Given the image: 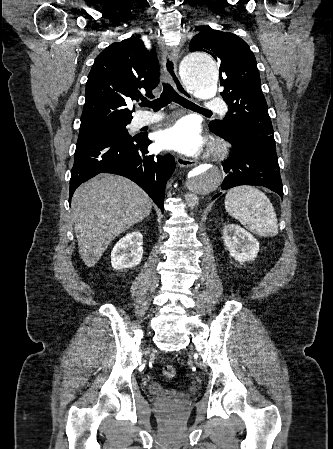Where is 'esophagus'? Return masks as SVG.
Listing matches in <instances>:
<instances>
[{
    "instance_id": "obj_1",
    "label": "esophagus",
    "mask_w": 333,
    "mask_h": 449,
    "mask_svg": "<svg viewBox=\"0 0 333 449\" xmlns=\"http://www.w3.org/2000/svg\"><path fill=\"white\" fill-rule=\"evenodd\" d=\"M179 48H165L163 51V66L165 74L176 91L183 97L190 99L191 95L189 91L184 87L177 73V61H178ZM177 164L179 167L185 168L196 164V160L188 159L182 156L177 158Z\"/></svg>"
}]
</instances>
